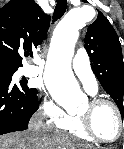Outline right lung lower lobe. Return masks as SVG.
<instances>
[{
  "instance_id": "1",
  "label": "right lung lower lobe",
  "mask_w": 124,
  "mask_h": 149,
  "mask_svg": "<svg viewBox=\"0 0 124 149\" xmlns=\"http://www.w3.org/2000/svg\"><path fill=\"white\" fill-rule=\"evenodd\" d=\"M11 79L0 74V135L26 130L39 107L37 90L26 83L14 84Z\"/></svg>"
}]
</instances>
